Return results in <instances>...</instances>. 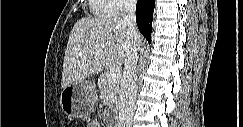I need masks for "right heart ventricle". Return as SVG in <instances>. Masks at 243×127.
<instances>
[{
	"label": "right heart ventricle",
	"mask_w": 243,
	"mask_h": 127,
	"mask_svg": "<svg viewBox=\"0 0 243 127\" xmlns=\"http://www.w3.org/2000/svg\"><path fill=\"white\" fill-rule=\"evenodd\" d=\"M114 3L111 0H92L91 11L99 19H111L113 15Z\"/></svg>",
	"instance_id": "right-heart-ventricle-1"
}]
</instances>
